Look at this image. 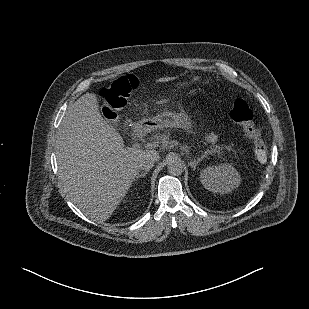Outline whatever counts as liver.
I'll list each match as a JSON object with an SVG mask.
<instances>
[{"label":"liver","mask_w":309,"mask_h":309,"mask_svg":"<svg viewBox=\"0 0 309 309\" xmlns=\"http://www.w3.org/2000/svg\"><path fill=\"white\" fill-rule=\"evenodd\" d=\"M59 177L70 200L87 216L106 221L155 150L124 148L101 116L96 94L86 93L65 113L56 143Z\"/></svg>","instance_id":"6515ba94"}]
</instances>
